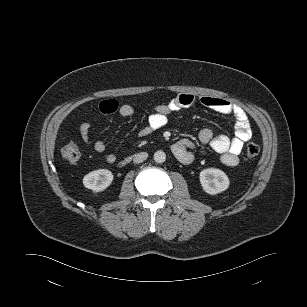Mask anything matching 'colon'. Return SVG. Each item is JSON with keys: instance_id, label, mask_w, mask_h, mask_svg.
I'll list each match as a JSON object with an SVG mask.
<instances>
[{"instance_id": "obj_1", "label": "colon", "mask_w": 307, "mask_h": 307, "mask_svg": "<svg viewBox=\"0 0 307 307\" xmlns=\"http://www.w3.org/2000/svg\"><path fill=\"white\" fill-rule=\"evenodd\" d=\"M115 105V102H111ZM260 152V147L256 143H249L246 146V156L248 158L256 157ZM62 156L69 162L75 163L81 157L79 147L75 143H70L62 149Z\"/></svg>"}]
</instances>
